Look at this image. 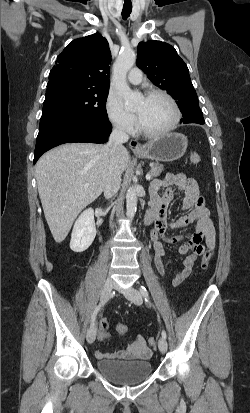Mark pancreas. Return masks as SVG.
<instances>
[{"label":"pancreas","mask_w":250,"mask_h":413,"mask_svg":"<svg viewBox=\"0 0 250 413\" xmlns=\"http://www.w3.org/2000/svg\"><path fill=\"white\" fill-rule=\"evenodd\" d=\"M163 171V165L159 163L153 164L151 170H150V175L153 177H157L160 175V173Z\"/></svg>","instance_id":"obj_1"}]
</instances>
